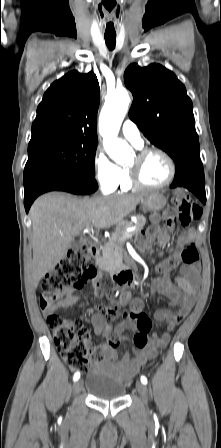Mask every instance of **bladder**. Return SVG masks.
<instances>
[{
    "label": "bladder",
    "mask_w": 221,
    "mask_h": 448,
    "mask_svg": "<svg viewBox=\"0 0 221 448\" xmlns=\"http://www.w3.org/2000/svg\"><path fill=\"white\" fill-rule=\"evenodd\" d=\"M83 384L86 391L95 399L111 401L125 397V383L106 371H92L86 376Z\"/></svg>",
    "instance_id": "obj_1"
}]
</instances>
